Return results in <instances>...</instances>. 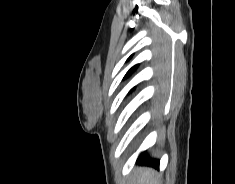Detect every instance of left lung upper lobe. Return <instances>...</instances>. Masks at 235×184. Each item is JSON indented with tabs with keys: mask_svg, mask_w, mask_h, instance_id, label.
<instances>
[{
	"mask_svg": "<svg viewBox=\"0 0 235 184\" xmlns=\"http://www.w3.org/2000/svg\"><path fill=\"white\" fill-rule=\"evenodd\" d=\"M131 58V57H130ZM138 67V65H135V66H133L128 72H127V74L125 75V78L126 77H128L130 74H132L134 71H135V69Z\"/></svg>",
	"mask_w": 235,
	"mask_h": 184,
	"instance_id": "1",
	"label": "left lung upper lobe"
}]
</instances>
